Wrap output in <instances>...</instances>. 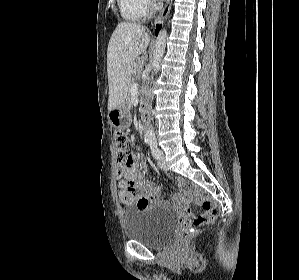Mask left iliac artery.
I'll list each match as a JSON object with an SVG mask.
<instances>
[{
    "instance_id": "left-iliac-artery-1",
    "label": "left iliac artery",
    "mask_w": 299,
    "mask_h": 280,
    "mask_svg": "<svg viewBox=\"0 0 299 280\" xmlns=\"http://www.w3.org/2000/svg\"><path fill=\"white\" fill-rule=\"evenodd\" d=\"M151 148V153L153 157L157 160H159L162 157V152L157 146V142L155 139H150L147 141Z\"/></svg>"
}]
</instances>
